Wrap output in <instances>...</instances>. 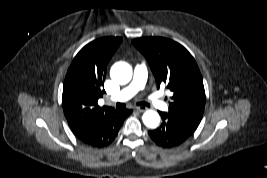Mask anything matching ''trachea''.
Masks as SVG:
<instances>
[{"label": "trachea", "instance_id": "1", "mask_svg": "<svg viewBox=\"0 0 267 178\" xmlns=\"http://www.w3.org/2000/svg\"><path fill=\"white\" fill-rule=\"evenodd\" d=\"M141 105H144V106H150L148 103H145V102L141 103ZM123 106H124L123 103H117V104H116V108H121V107H123Z\"/></svg>", "mask_w": 267, "mask_h": 178}]
</instances>
